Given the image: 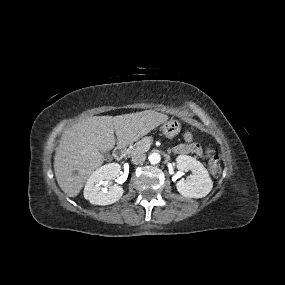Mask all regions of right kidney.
<instances>
[{
	"label": "right kidney",
	"instance_id": "obj_1",
	"mask_svg": "<svg viewBox=\"0 0 285 285\" xmlns=\"http://www.w3.org/2000/svg\"><path fill=\"white\" fill-rule=\"evenodd\" d=\"M121 166L118 163H109L101 166L88 178L84 197L93 205H109L118 201L124 190L119 185H113L109 188L104 186V181H110L118 175Z\"/></svg>",
	"mask_w": 285,
	"mask_h": 285
}]
</instances>
